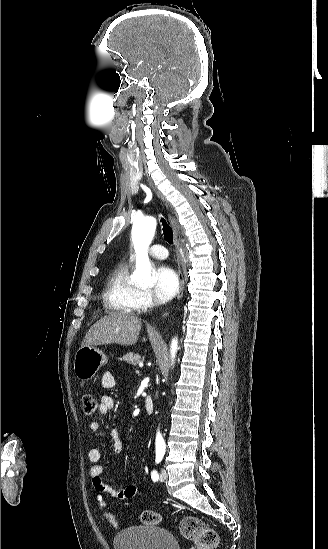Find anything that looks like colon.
<instances>
[{
  "label": "colon",
  "instance_id": "1",
  "mask_svg": "<svg viewBox=\"0 0 328 549\" xmlns=\"http://www.w3.org/2000/svg\"><path fill=\"white\" fill-rule=\"evenodd\" d=\"M83 412L91 415L97 408L96 399L91 394L82 397ZM103 494L102 492H99ZM103 521L112 528L118 527L117 518L108 512H103ZM141 522L146 525H157L161 522V515L154 510H144L140 515ZM179 532L183 538L192 542L189 549H215L219 545L217 532L207 526L200 518L185 516L179 522Z\"/></svg>",
  "mask_w": 328,
  "mask_h": 549
}]
</instances>
